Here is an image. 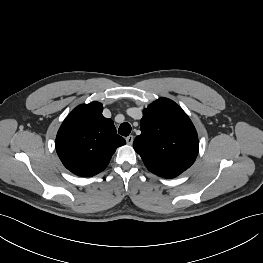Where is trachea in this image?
<instances>
[{"label":"trachea","mask_w":263,"mask_h":263,"mask_svg":"<svg viewBox=\"0 0 263 263\" xmlns=\"http://www.w3.org/2000/svg\"><path fill=\"white\" fill-rule=\"evenodd\" d=\"M131 132V125L127 122L122 123L118 129V133L122 136H128Z\"/></svg>","instance_id":"trachea-1"}]
</instances>
